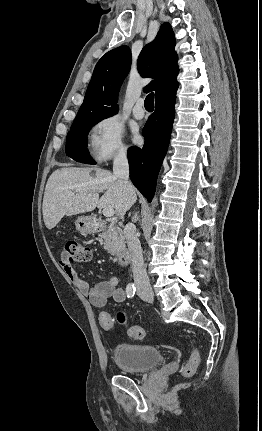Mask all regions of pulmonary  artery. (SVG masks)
Listing matches in <instances>:
<instances>
[{
  "mask_svg": "<svg viewBox=\"0 0 262 431\" xmlns=\"http://www.w3.org/2000/svg\"><path fill=\"white\" fill-rule=\"evenodd\" d=\"M143 103L144 100L140 98L133 107V116L136 119H143L145 117V110L142 108Z\"/></svg>",
  "mask_w": 262,
  "mask_h": 431,
  "instance_id": "1",
  "label": "pulmonary artery"
}]
</instances>
